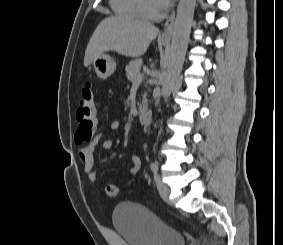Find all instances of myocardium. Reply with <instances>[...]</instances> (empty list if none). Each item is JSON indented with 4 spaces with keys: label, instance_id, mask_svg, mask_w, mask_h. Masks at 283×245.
I'll use <instances>...</instances> for the list:
<instances>
[{
    "label": "myocardium",
    "instance_id": "myocardium-1",
    "mask_svg": "<svg viewBox=\"0 0 283 245\" xmlns=\"http://www.w3.org/2000/svg\"><path fill=\"white\" fill-rule=\"evenodd\" d=\"M137 7L140 15L146 19H156L163 15L164 9L158 11H150L146 8L144 0H137Z\"/></svg>",
    "mask_w": 283,
    "mask_h": 245
}]
</instances>
